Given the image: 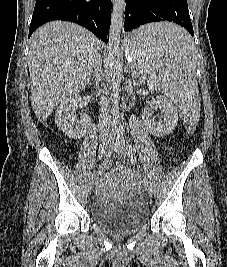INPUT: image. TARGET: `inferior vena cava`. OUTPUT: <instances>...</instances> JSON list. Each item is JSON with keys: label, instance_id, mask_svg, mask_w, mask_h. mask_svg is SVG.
<instances>
[{"label": "inferior vena cava", "instance_id": "obj_1", "mask_svg": "<svg viewBox=\"0 0 227 267\" xmlns=\"http://www.w3.org/2000/svg\"><path fill=\"white\" fill-rule=\"evenodd\" d=\"M93 68H94V81H95V85L97 86L99 83V79H100L99 73L101 72V59H100L99 54H97ZM106 108L107 106L105 102L103 101V104L100 109V117H99V133L101 135L108 134V131L110 128V117L106 113Z\"/></svg>", "mask_w": 227, "mask_h": 267}]
</instances>
